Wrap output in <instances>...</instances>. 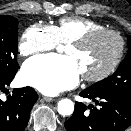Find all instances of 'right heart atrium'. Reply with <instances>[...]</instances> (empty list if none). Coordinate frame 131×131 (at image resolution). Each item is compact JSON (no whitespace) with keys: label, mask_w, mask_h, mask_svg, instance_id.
Returning <instances> with one entry per match:
<instances>
[{"label":"right heart atrium","mask_w":131,"mask_h":131,"mask_svg":"<svg viewBox=\"0 0 131 131\" xmlns=\"http://www.w3.org/2000/svg\"><path fill=\"white\" fill-rule=\"evenodd\" d=\"M58 45L59 41L53 26L34 23L23 32L18 50L22 56H29L52 50Z\"/></svg>","instance_id":"1"}]
</instances>
